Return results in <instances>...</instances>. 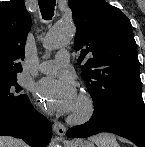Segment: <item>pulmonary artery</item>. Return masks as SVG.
I'll return each instance as SVG.
<instances>
[{
  "mask_svg": "<svg viewBox=\"0 0 145 147\" xmlns=\"http://www.w3.org/2000/svg\"><path fill=\"white\" fill-rule=\"evenodd\" d=\"M70 61V53L67 51L59 52L54 60L43 61L38 65V70L42 73L51 74L60 67L66 66Z\"/></svg>",
  "mask_w": 145,
  "mask_h": 147,
  "instance_id": "1",
  "label": "pulmonary artery"
}]
</instances>
